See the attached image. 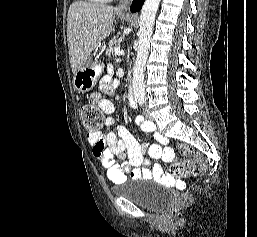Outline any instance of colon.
<instances>
[{"label": "colon", "mask_w": 257, "mask_h": 237, "mask_svg": "<svg viewBox=\"0 0 257 237\" xmlns=\"http://www.w3.org/2000/svg\"><path fill=\"white\" fill-rule=\"evenodd\" d=\"M81 118L84 127L93 134H100L104 120L100 110L92 104L83 106L81 111ZM180 153L187 157L188 160L176 161L171 165V171L177 176H187L193 170V161L199 162L200 170H204L201 155L191 145L182 144L179 146ZM185 197V196H184Z\"/></svg>", "instance_id": "1"}]
</instances>
